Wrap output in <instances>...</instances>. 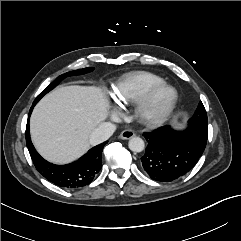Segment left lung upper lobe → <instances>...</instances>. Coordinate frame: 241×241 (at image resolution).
Wrapping results in <instances>:
<instances>
[{
    "mask_svg": "<svg viewBox=\"0 0 241 241\" xmlns=\"http://www.w3.org/2000/svg\"><path fill=\"white\" fill-rule=\"evenodd\" d=\"M189 126L198 129L206 137L208 136L207 114L202 102L199 103L194 115L189 120Z\"/></svg>",
    "mask_w": 241,
    "mask_h": 241,
    "instance_id": "5c2ea615",
    "label": "left lung upper lobe"
}]
</instances>
